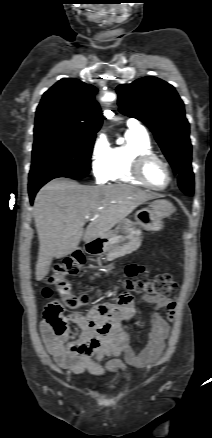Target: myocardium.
Masks as SVG:
<instances>
[{
	"mask_svg": "<svg viewBox=\"0 0 212 438\" xmlns=\"http://www.w3.org/2000/svg\"><path fill=\"white\" fill-rule=\"evenodd\" d=\"M151 161L160 162L167 172L168 181L162 187H157V186L151 184L145 177V174H144L145 168L148 165V163ZM131 173H132L133 177L137 181H139L143 186L148 187V188L153 189V190H158V191H162V190L167 189L171 185L172 179H173L172 171H171V168H170L169 164L167 163V161L165 159H163L162 157L156 155L155 153H142V154L137 155L133 160V163L131 166Z\"/></svg>",
	"mask_w": 212,
	"mask_h": 438,
	"instance_id": "f54148a6",
	"label": "myocardium"
}]
</instances>
